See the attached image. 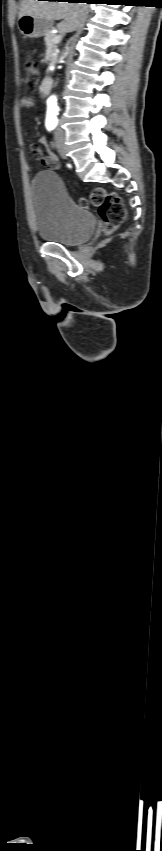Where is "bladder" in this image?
Here are the masks:
<instances>
[{
    "mask_svg": "<svg viewBox=\"0 0 162 851\" xmlns=\"http://www.w3.org/2000/svg\"><path fill=\"white\" fill-rule=\"evenodd\" d=\"M31 194L40 238L75 246L91 237L96 226L94 214L70 198L58 174L38 173L31 182Z\"/></svg>",
    "mask_w": 162,
    "mask_h": 851,
    "instance_id": "31cf9c89",
    "label": "bladder"
}]
</instances>
